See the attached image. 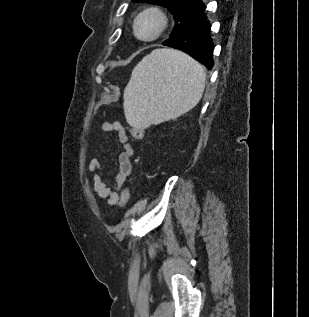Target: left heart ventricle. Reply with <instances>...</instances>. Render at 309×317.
<instances>
[{
	"label": "left heart ventricle",
	"mask_w": 309,
	"mask_h": 317,
	"mask_svg": "<svg viewBox=\"0 0 309 317\" xmlns=\"http://www.w3.org/2000/svg\"><path fill=\"white\" fill-rule=\"evenodd\" d=\"M155 27V22L152 19H145L140 25L142 35H149Z\"/></svg>",
	"instance_id": "1"
}]
</instances>
